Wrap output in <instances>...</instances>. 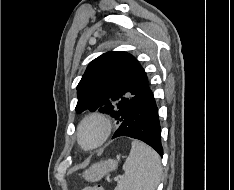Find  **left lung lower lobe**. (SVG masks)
<instances>
[{
	"label": "left lung lower lobe",
	"mask_w": 234,
	"mask_h": 190,
	"mask_svg": "<svg viewBox=\"0 0 234 190\" xmlns=\"http://www.w3.org/2000/svg\"><path fill=\"white\" fill-rule=\"evenodd\" d=\"M122 136L139 139L163 156L158 109L149 86L131 107L112 138Z\"/></svg>",
	"instance_id": "0a47b994"
}]
</instances>
